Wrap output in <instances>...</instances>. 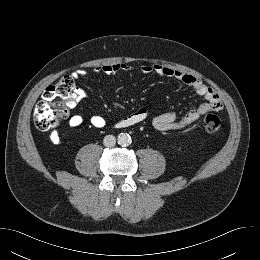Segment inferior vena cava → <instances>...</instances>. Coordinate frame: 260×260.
Returning a JSON list of instances; mask_svg holds the SVG:
<instances>
[{"label":"inferior vena cava","instance_id":"obj_1","mask_svg":"<svg viewBox=\"0 0 260 260\" xmlns=\"http://www.w3.org/2000/svg\"><path fill=\"white\" fill-rule=\"evenodd\" d=\"M103 144L106 147H113L116 144V138L113 135H106L103 139Z\"/></svg>","mask_w":260,"mask_h":260}]
</instances>
